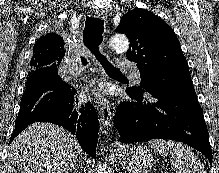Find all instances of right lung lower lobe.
I'll return each instance as SVG.
<instances>
[{
	"mask_svg": "<svg viewBox=\"0 0 219 173\" xmlns=\"http://www.w3.org/2000/svg\"><path fill=\"white\" fill-rule=\"evenodd\" d=\"M76 94L74 87L51 73L29 75L10 142L29 124L51 122L76 135L84 151L94 157L99 128L97 112L89 102L79 104Z\"/></svg>",
	"mask_w": 219,
	"mask_h": 173,
	"instance_id": "obj_1",
	"label": "right lung lower lobe"
}]
</instances>
